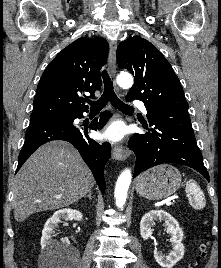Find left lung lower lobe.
<instances>
[{
	"instance_id": "1",
	"label": "left lung lower lobe",
	"mask_w": 221,
	"mask_h": 268,
	"mask_svg": "<svg viewBox=\"0 0 221 268\" xmlns=\"http://www.w3.org/2000/svg\"><path fill=\"white\" fill-rule=\"evenodd\" d=\"M127 101L132 99L126 97ZM148 124L142 126L150 132L134 134L128 147L136 155L134 177L159 164L177 163L200 172L208 181L209 174L203 164L187 111L147 108Z\"/></svg>"
}]
</instances>
